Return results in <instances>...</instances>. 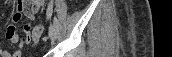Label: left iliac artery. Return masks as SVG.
Wrapping results in <instances>:
<instances>
[{"label":"left iliac artery","instance_id":"left-iliac-artery-1","mask_svg":"<svg viewBox=\"0 0 172 57\" xmlns=\"http://www.w3.org/2000/svg\"><path fill=\"white\" fill-rule=\"evenodd\" d=\"M52 11H53V4H52V2H50L48 5V9H47V15L51 16ZM53 23H54V25H56L58 27L59 23H58V20L56 17L54 18Z\"/></svg>","mask_w":172,"mask_h":57}]
</instances>
